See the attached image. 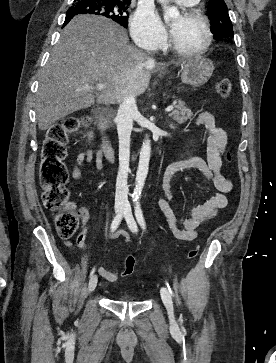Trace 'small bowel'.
Instances as JSON below:
<instances>
[{
	"mask_svg": "<svg viewBox=\"0 0 276 363\" xmlns=\"http://www.w3.org/2000/svg\"><path fill=\"white\" fill-rule=\"evenodd\" d=\"M196 124L204 126L208 131L207 159L191 157L169 165L163 176L164 197H160L157 201L167 219L171 233L178 241L182 242H190L197 238L200 226L215 217L217 212L228 204L226 194L233 189L231 180L221 173L228 141L226 131L216 124L214 116L207 111L201 112L197 116ZM92 161L95 162L98 169L102 168V155L100 153L95 154L92 150L78 153L76 165L71 173L72 178L78 179L83 169ZM187 169L198 170L206 181L214 184L218 193L212 195L206 202L191 207L187 212V217L179 218L172 206L171 181L177 172ZM71 207L80 215L82 223L76 244L80 249L86 250L88 248L87 235L90 230V214L85 207L75 204H72ZM119 236L129 240V236L125 232L120 231L111 235L112 238ZM96 271L99 276L109 282H116L119 279L118 273L110 272L102 266L97 267Z\"/></svg>",
	"mask_w": 276,
	"mask_h": 363,
	"instance_id": "1",
	"label": "small bowel"
}]
</instances>
